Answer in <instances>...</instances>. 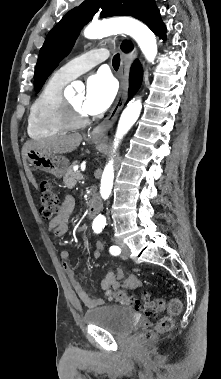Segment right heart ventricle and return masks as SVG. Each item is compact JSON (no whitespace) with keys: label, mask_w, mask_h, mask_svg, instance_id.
<instances>
[{"label":"right heart ventricle","mask_w":221,"mask_h":379,"mask_svg":"<svg viewBox=\"0 0 221 379\" xmlns=\"http://www.w3.org/2000/svg\"><path fill=\"white\" fill-rule=\"evenodd\" d=\"M68 82L55 73L33 100L27 118V133L31 138H50L70 129L62 115L63 90Z\"/></svg>","instance_id":"obj_1"}]
</instances>
